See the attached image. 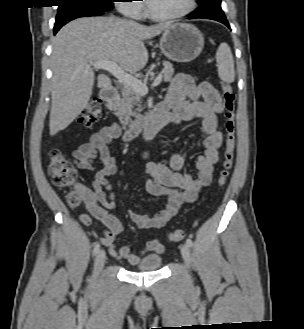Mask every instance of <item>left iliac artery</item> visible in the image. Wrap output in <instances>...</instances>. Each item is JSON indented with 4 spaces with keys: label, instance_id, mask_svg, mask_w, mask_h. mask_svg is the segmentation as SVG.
I'll return each instance as SVG.
<instances>
[{
    "label": "left iliac artery",
    "instance_id": "obj_1",
    "mask_svg": "<svg viewBox=\"0 0 304 329\" xmlns=\"http://www.w3.org/2000/svg\"><path fill=\"white\" fill-rule=\"evenodd\" d=\"M186 244H187L189 247H192L193 242H192V240H191L190 238H188V239L186 240Z\"/></svg>",
    "mask_w": 304,
    "mask_h": 329
}]
</instances>
